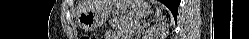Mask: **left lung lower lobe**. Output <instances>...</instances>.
Wrapping results in <instances>:
<instances>
[{
    "label": "left lung lower lobe",
    "mask_w": 249,
    "mask_h": 39,
    "mask_svg": "<svg viewBox=\"0 0 249 39\" xmlns=\"http://www.w3.org/2000/svg\"><path fill=\"white\" fill-rule=\"evenodd\" d=\"M164 3L172 12L173 16L177 17V9L180 4V0H160Z\"/></svg>",
    "instance_id": "left-lung-lower-lobe-1"
}]
</instances>
